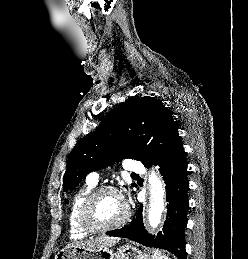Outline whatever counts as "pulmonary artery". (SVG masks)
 <instances>
[{
	"mask_svg": "<svg viewBox=\"0 0 248 259\" xmlns=\"http://www.w3.org/2000/svg\"><path fill=\"white\" fill-rule=\"evenodd\" d=\"M124 169L127 172L136 174V173L143 172L144 167L140 162L129 159L125 162ZM87 181L93 184H97V182L99 181V173L98 172L89 173L87 176Z\"/></svg>",
	"mask_w": 248,
	"mask_h": 259,
	"instance_id": "pulmonary-artery-1",
	"label": "pulmonary artery"
}]
</instances>
